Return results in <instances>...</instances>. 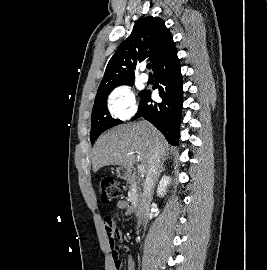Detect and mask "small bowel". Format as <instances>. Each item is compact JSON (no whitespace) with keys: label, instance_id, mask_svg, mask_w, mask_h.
<instances>
[{"label":"small bowel","instance_id":"c3829d8e","mask_svg":"<svg viewBox=\"0 0 267 270\" xmlns=\"http://www.w3.org/2000/svg\"><path fill=\"white\" fill-rule=\"evenodd\" d=\"M117 207L121 209L126 215H130L132 212L130 205L126 201H119L117 203ZM104 225H105V229L107 231L110 246L112 249L113 265H114V268H116L115 261H116V258H119V246L117 245L116 241L122 239V233L116 227L111 216L105 217ZM127 270H135L134 261L130 255L127 258Z\"/></svg>","mask_w":267,"mask_h":270}]
</instances>
